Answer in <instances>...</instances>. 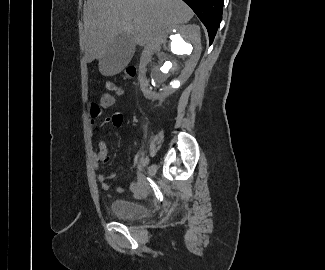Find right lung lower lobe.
Here are the masks:
<instances>
[{"label":"right lung lower lobe","instance_id":"right-lung-lower-lobe-1","mask_svg":"<svg viewBox=\"0 0 325 270\" xmlns=\"http://www.w3.org/2000/svg\"><path fill=\"white\" fill-rule=\"evenodd\" d=\"M196 13L205 25L210 44L213 42L217 29L222 20L224 0H183Z\"/></svg>","mask_w":325,"mask_h":270}]
</instances>
